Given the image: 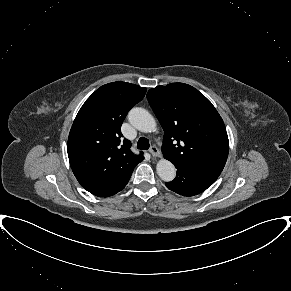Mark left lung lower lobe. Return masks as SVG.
I'll use <instances>...</instances> for the list:
<instances>
[{
    "label": "left lung lower lobe",
    "instance_id": "obj_1",
    "mask_svg": "<svg viewBox=\"0 0 291 291\" xmlns=\"http://www.w3.org/2000/svg\"><path fill=\"white\" fill-rule=\"evenodd\" d=\"M177 175L171 182H166L168 189L182 195L193 196L209 188L219 177L220 171L187 167L174 164Z\"/></svg>",
    "mask_w": 291,
    "mask_h": 291
}]
</instances>
